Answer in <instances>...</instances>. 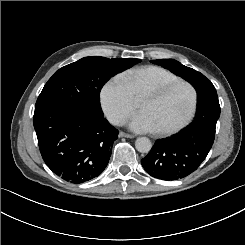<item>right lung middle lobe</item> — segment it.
I'll list each match as a JSON object with an SVG mask.
<instances>
[{
  "label": "right lung middle lobe",
  "mask_w": 245,
  "mask_h": 245,
  "mask_svg": "<svg viewBox=\"0 0 245 245\" xmlns=\"http://www.w3.org/2000/svg\"><path fill=\"white\" fill-rule=\"evenodd\" d=\"M141 60L135 58L108 59L85 57L57 70L40 93L35 111L54 106L80 109L103 117L99 94L114 74L130 68Z\"/></svg>",
  "instance_id": "obj_1"
}]
</instances>
